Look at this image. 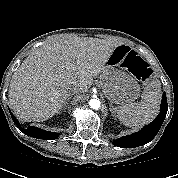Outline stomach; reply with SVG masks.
Returning <instances> with one entry per match:
<instances>
[{
  "label": "stomach",
  "instance_id": "obj_1",
  "mask_svg": "<svg viewBox=\"0 0 178 178\" xmlns=\"http://www.w3.org/2000/svg\"><path fill=\"white\" fill-rule=\"evenodd\" d=\"M115 49L100 74V85L110 103L126 106L140 96V86L128 71L127 53L119 56Z\"/></svg>",
  "mask_w": 178,
  "mask_h": 178
}]
</instances>
